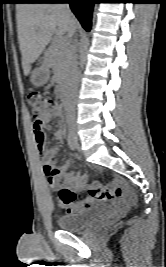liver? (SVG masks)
I'll return each instance as SVG.
<instances>
[{"mask_svg": "<svg viewBox=\"0 0 166 267\" xmlns=\"http://www.w3.org/2000/svg\"><path fill=\"white\" fill-rule=\"evenodd\" d=\"M16 21L19 48L22 55L24 74L31 71L51 41L52 35L62 37L70 26L77 28V20L67 15L61 5L20 3L16 5Z\"/></svg>", "mask_w": 166, "mask_h": 267, "instance_id": "liver-1", "label": "liver"}]
</instances>
